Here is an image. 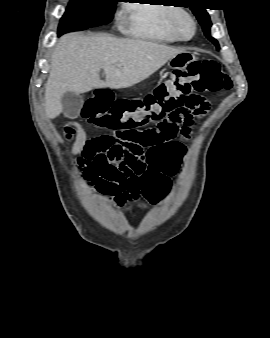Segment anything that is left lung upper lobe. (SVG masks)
I'll return each instance as SVG.
<instances>
[{
  "label": "left lung upper lobe",
  "instance_id": "left-lung-upper-lobe-1",
  "mask_svg": "<svg viewBox=\"0 0 270 338\" xmlns=\"http://www.w3.org/2000/svg\"><path fill=\"white\" fill-rule=\"evenodd\" d=\"M194 5L190 7L196 18L198 19L199 23L202 26L205 36L217 47L219 48V44L216 39L211 37L210 35V27L211 21L206 9L203 7L206 1L203 0H194Z\"/></svg>",
  "mask_w": 270,
  "mask_h": 338
}]
</instances>
